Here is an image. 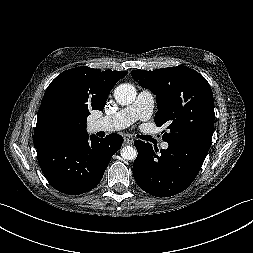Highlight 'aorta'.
Here are the masks:
<instances>
[{
  "label": "aorta",
  "mask_w": 253,
  "mask_h": 253,
  "mask_svg": "<svg viewBox=\"0 0 253 253\" xmlns=\"http://www.w3.org/2000/svg\"><path fill=\"white\" fill-rule=\"evenodd\" d=\"M137 92L131 84H120L115 88V100L121 105H128L134 102ZM121 156L125 160H134L137 157V150L132 146H125L121 149Z\"/></svg>",
  "instance_id": "762f6f07"
}]
</instances>
